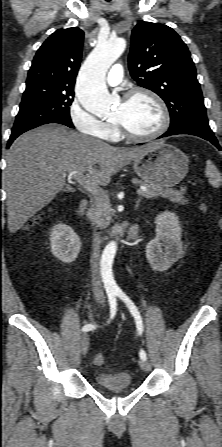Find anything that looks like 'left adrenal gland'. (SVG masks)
Here are the masks:
<instances>
[{"label":"left adrenal gland","instance_id":"1","mask_svg":"<svg viewBox=\"0 0 222 447\" xmlns=\"http://www.w3.org/2000/svg\"><path fill=\"white\" fill-rule=\"evenodd\" d=\"M139 203H140V199H138V200L136 201L135 209H138V207H139Z\"/></svg>","mask_w":222,"mask_h":447}]
</instances>
